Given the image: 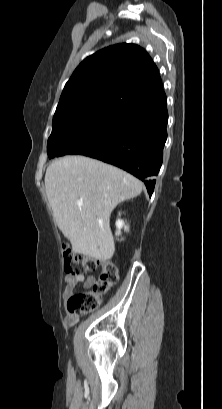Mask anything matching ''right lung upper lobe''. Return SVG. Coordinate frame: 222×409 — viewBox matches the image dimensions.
Here are the masks:
<instances>
[{"label":"right lung upper lobe","instance_id":"cb5924a9","mask_svg":"<svg viewBox=\"0 0 222 409\" xmlns=\"http://www.w3.org/2000/svg\"><path fill=\"white\" fill-rule=\"evenodd\" d=\"M164 94L148 53L135 44H117L80 63L63 89L56 112L103 102L122 106Z\"/></svg>","mask_w":222,"mask_h":409}]
</instances>
